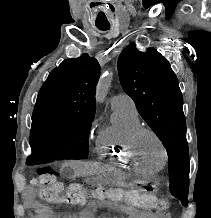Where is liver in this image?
I'll return each instance as SVG.
<instances>
[{
  "label": "liver",
  "mask_w": 211,
  "mask_h": 218,
  "mask_svg": "<svg viewBox=\"0 0 211 218\" xmlns=\"http://www.w3.org/2000/svg\"><path fill=\"white\" fill-rule=\"evenodd\" d=\"M69 166L74 170L75 176H89L94 172V168L87 162H70Z\"/></svg>",
  "instance_id": "obj_1"
}]
</instances>
